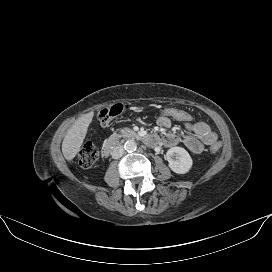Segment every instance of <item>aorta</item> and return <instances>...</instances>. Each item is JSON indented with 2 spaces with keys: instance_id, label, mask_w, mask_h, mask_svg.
I'll list each match as a JSON object with an SVG mask.
<instances>
[{
  "instance_id": "aorta-1",
  "label": "aorta",
  "mask_w": 272,
  "mask_h": 272,
  "mask_svg": "<svg viewBox=\"0 0 272 272\" xmlns=\"http://www.w3.org/2000/svg\"><path fill=\"white\" fill-rule=\"evenodd\" d=\"M124 148L127 152H133L137 149V144L134 140H128L125 142Z\"/></svg>"
}]
</instances>
